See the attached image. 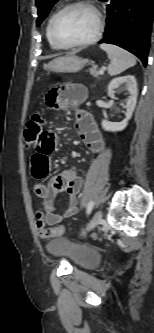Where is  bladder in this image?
Listing matches in <instances>:
<instances>
[{
	"mask_svg": "<svg viewBox=\"0 0 154 333\" xmlns=\"http://www.w3.org/2000/svg\"><path fill=\"white\" fill-rule=\"evenodd\" d=\"M46 248L52 255L67 258L73 267L80 269H93L99 263V253L95 248L76 244L66 237L50 240Z\"/></svg>",
	"mask_w": 154,
	"mask_h": 333,
	"instance_id": "31cf9c89",
	"label": "bladder"
}]
</instances>
